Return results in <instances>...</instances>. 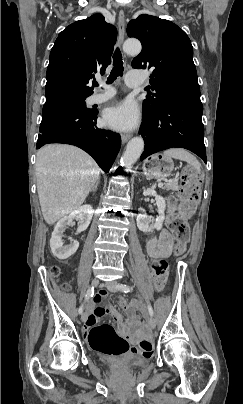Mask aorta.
Instances as JSON below:
<instances>
[{"label":"aorta","instance_id":"obj_1","mask_svg":"<svg viewBox=\"0 0 243 404\" xmlns=\"http://www.w3.org/2000/svg\"><path fill=\"white\" fill-rule=\"evenodd\" d=\"M142 50V46L139 40H125L123 44V52L128 54V56H138ZM144 150V140L143 138H132L126 146V150L122 156L123 166L126 168H132L133 164L139 160L142 152Z\"/></svg>","mask_w":243,"mask_h":404}]
</instances>
